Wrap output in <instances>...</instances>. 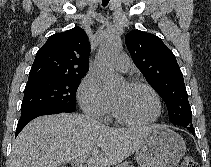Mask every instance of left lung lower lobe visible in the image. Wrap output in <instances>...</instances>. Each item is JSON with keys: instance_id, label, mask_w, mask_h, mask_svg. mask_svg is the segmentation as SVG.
Segmentation results:
<instances>
[{"instance_id": "1", "label": "left lung lower lobe", "mask_w": 211, "mask_h": 167, "mask_svg": "<svg viewBox=\"0 0 211 167\" xmlns=\"http://www.w3.org/2000/svg\"><path fill=\"white\" fill-rule=\"evenodd\" d=\"M184 128H186L188 131H190L192 134H193V136H195V132H194V129H193V126L192 127H184Z\"/></svg>"}]
</instances>
